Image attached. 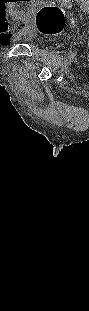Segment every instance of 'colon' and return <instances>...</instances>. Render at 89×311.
I'll return each mask as SVG.
<instances>
[{
	"mask_svg": "<svg viewBox=\"0 0 89 311\" xmlns=\"http://www.w3.org/2000/svg\"><path fill=\"white\" fill-rule=\"evenodd\" d=\"M3 25L8 28L9 22L6 16L0 18ZM66 21V14L59 7L54 5H46L42 7L36 15V27L39 32L45 35H54L61 31ZM13 29L21 32L25 28V24L17 22L13 24Z\"/></svg>",
	"mask_w": 89,
	"mask_h": 311,
	"instance_id": "colon-1",
	"label": "colon"
}]
</instances>
